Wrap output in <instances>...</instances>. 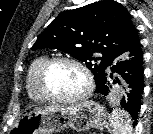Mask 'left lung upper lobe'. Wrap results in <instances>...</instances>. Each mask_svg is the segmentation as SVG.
<instances>
[{"label":"left lung upper lobe","mask_w":153,"mask_h":134,"mask_svg":"<svg viewBox=\"0 0 153 134\" xmlns=\"http://www.w3.org/2000/svg\"><path fill=\"white\" fill-rule=\"evenodd\" d=\"M139 45L128 10L116 1L103 0L60 13L40 34L32 50L52 48L72 55L85 62L97 84L108 66ZM96 53L102 56L96 57Z\"/></svg>","instance_id":"5c2ea615"}]
</instances>
